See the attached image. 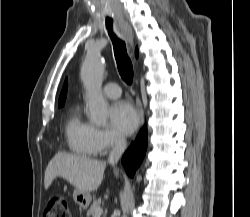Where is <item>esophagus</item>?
Masks as SVG:
<instances>
[{
	"label": "esophagus",
	"instance_id": "esophagus-1",
	"mask_svg": "<svg viewBox=\"0 0 250 217\" xmlns=\"http://www.w3.org/2000/svg\"><path fill=\"white\" fill-rule=\"evenodd\" d=\"M119 27L122 31L123 36L127 40V42L132 45V43H133V31H132V28L130 27V25L124 19H120L119 20ZM136 106H137V110H138V114H139L140 125L142 126L144 123V113H143L141 101H140L138 96L136 97Z\"/></svg>",
	"mask_w": 250,
	"mask_h": 217
}]
</instances>
